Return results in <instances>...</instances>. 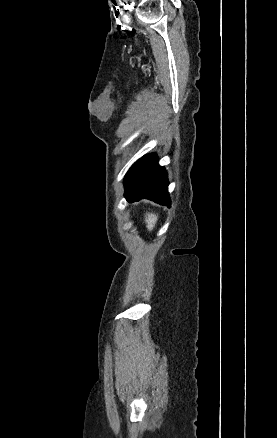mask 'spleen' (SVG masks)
Masks as SVG:
<instances>
[{"label": "spleen", "mask_w": 277, "mask_h": 438, "mask_svg": "<svg viewBox=\"0 0 277 438\" xmlns=\"http://www.w3.org/2000/svg\"><path fill=\"white\" fill-rule=\"evenodd\" d=\"M145 222L147 224L146 228H148L149 232L155 228V224L157 222V216L155 214H146Z\"/></svg>", "instance_id": "3e777b00"}]
</instances>
